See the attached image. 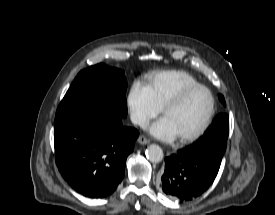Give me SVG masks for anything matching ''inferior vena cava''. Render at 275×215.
Masks as SVG:
<instances>
[{
	"instance_id": "1",
	"label": "inferior vena cava",
	"mask_w": 275,
	"mask_h": 215,
	"mask_svg": "<svg viewBox=\"0 0 275 215\" xmlns=\"http://www.w3.org/2000/svg\"><path fill=\"white\" fill-rule=\"evenodd\" d=\"M133 124L143 125L145 123V119L137 114H131L130 116Z\"/></svg>"
}]
</instances>
